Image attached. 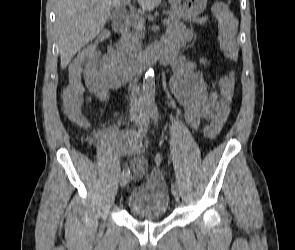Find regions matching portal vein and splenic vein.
Instances as JSON below:
<instances>
[{
    "instance_id": "portal-vein-and-splenic-vein-1",
    "label": "portal vein and splenic vein",
    "mask_w": 295,
    "mask_h": 250,
    "mask_svg": "<svg viewBox=\"0 0 295 250\" xmlns=\"http://www.w3.org/2000/svg\"><path fill=\"white\" fill-rule=\"evenodd\" d=\"M130 3V0H124L122 3H120L118 6L119 8L123 9L127 4ZM132 17L133 19L139 24V25H143L145 20L143 17L140 16V14L136 13L135 11H132ZM169 23L168 19H164L162 21L163 25H167Z\"/></svg>"
}]
</instances>
